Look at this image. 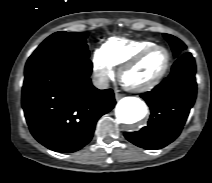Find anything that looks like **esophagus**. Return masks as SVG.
<instances>
[{
	"mask_svg": "<svg viewBox=\"0 0 212 183\" xmlns=\"http://www.w3.org/2000/svg\"><path fill=\"white\" fill-rule=\"evenodd\" d=\"M122 97V94L118 93L117 91L115 92V98L116 100H119Z\"/></svg>",
	"mask_w": 212,
	"mask_h": 183,
	"instance_id": "obj_1",
	"label": "esophagus"
}]
</instances>
